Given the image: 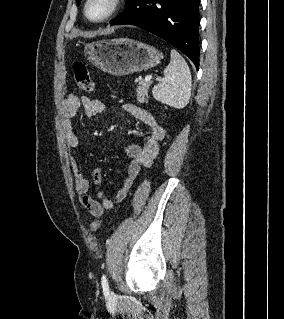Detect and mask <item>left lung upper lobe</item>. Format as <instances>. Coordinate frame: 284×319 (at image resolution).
<instances>
[{
	"label": "left lung upper lobe",
	"mask_w": 284,
	"mask_h": 319,
	"mask_svg": "<svg viewBox=\"0 0 284 319\" xmlns=\"http://www.w3.org/2000/svg\"><path fill=\"white\" fill-rule=\"evenodd\" d=\"M80 1H81V0H76V2H77L78 5L80 4ZM129 2H131V0H127V4H128Z\"/></svg>",
	"instance_id": "obj_1"
}]
</instances>
